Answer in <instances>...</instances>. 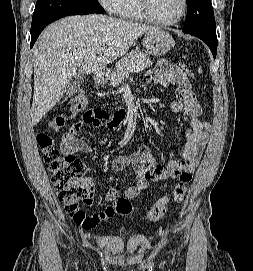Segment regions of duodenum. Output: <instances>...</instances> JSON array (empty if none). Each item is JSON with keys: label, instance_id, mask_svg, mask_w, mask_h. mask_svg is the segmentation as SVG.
I'll list each match as a JSON object with an SVG mask.
<instances>
[{"label": "duodenum", "instance_id": "410a0bca", "mask_svg": "<svg viewBox=\"0 0 253 271\" xmlns=\"http://www.w3.org/2000/svg\"><path fill=\"white\" fill-rule=\"evenodd\" d=\"M106 74L103 71H97L94 76L95 83L101 85L104 83ZM126 118V112L124 110L117 111L113 114L111 121L114 125H119L124 122Z\"/></svg>", "mask_w": 253, "mask_h": 271}]
</instances>
